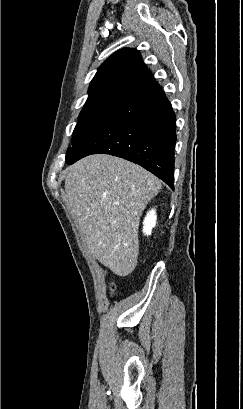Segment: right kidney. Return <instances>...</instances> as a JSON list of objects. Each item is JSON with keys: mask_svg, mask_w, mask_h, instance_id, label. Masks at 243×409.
<instances>
[{"mask_svg": "<svg viewBox=\"0 0 243 409\" xmlns=\"http://www.w3.org/2000/svg\"><path fill=\"white\" fill-rule=\"evenodd\" d=\"M156 220H157L156 211L152 209L147 213V216L145 217L143 222V233H145V235L151 234L152 228L156 225Z\"/></svg>", "mask_w": 243, "mask_h": 409, "instance_id": "1", "label": "right kidney"}]
</instances>
